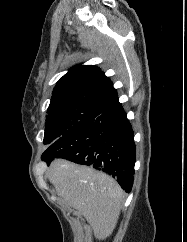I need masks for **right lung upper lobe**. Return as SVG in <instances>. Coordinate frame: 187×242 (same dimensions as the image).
Masks as SVG:
<instances>
[{
	"instance_id": "cb5924a9",
	"label": "right lung upper lobe",
	"mask_w": 187,
	"mask_h": 242,
	"mask_svg": "<svg viewBox=\"0 0 187 242\" xmlns=\"http://www.w3.org/2000/svg\"><path fill=\"white\" fill-rule=\"evenodd\" d=\"M118 101L112 82L97 66L72 67L55 86L48 110L73 104L106 108Z\"/></svg>"
}]
</instances>
